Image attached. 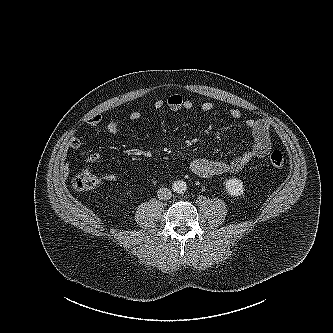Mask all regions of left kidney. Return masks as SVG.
<instances>
[{
    "instance_id": "5707ae66",
    "label": "left kidney",
    "mask_w": 333,
    "mask_h": 333,
    "mask_svg": "<svg viewBox=\"0 0 333 333\" xmlns=\"http://www.w3.org/2000/svg\"><path fill=\"white\" fill-rule=\"evenodd\" d=\"M226 191L231 196H241L244 192L243 182L237 178H231L224 182Z\"/></svg>"
}]
</instances>
